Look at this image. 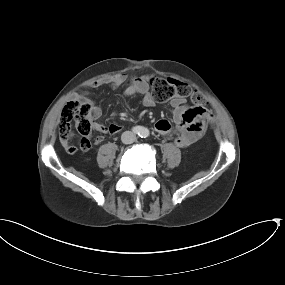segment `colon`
Here are the masks:
<instances>
[{
  "instance_id": "5ec220e1",
  "label": "colon",
  "mask_w": 285,
  "mask_h": 285,
  "mask_svg": "<svg viewBox=\"0 0 285 285\" xmlns=\"http://www.w3.org/2000/svg\"><path fill=\"white\" fill-rule=\"evenodd\" d=\"M151 83L152 96L161 102L176 97H190L191 102L198 108L206 104L205 97L199 92H192L188 84L164 77H153ZM91 105L88 100H69L66 102L61 115L60 136L66 141L67 130L70 123H74L77 131L84 139L91 136L93 127L90 118ZM211 117H209V120Z\"/></svg>"
}]
</instances>
